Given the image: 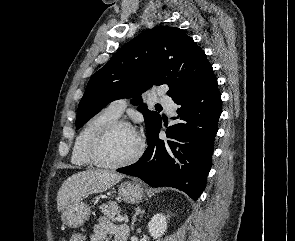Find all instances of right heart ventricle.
<instances>
[{
  "label": "right heart ventricle",
  "instance_id": "obj_1",
  "mask_svg": "<svg viewBox=\"0 0 295 241\" xmlns=\"http://www.w3.org/2000/svg\"><path fill=\"white\" fill-rule=\"evenodd\" d=\"M118 117L106 108L95 114L84 124L73 145L72 164L78 167H90L93 165L88 155V148L92 138L104 125L118 119Z\"/></svg>",
  "mask_w": 295,
  "mask_h": 241
}]
</instances>
